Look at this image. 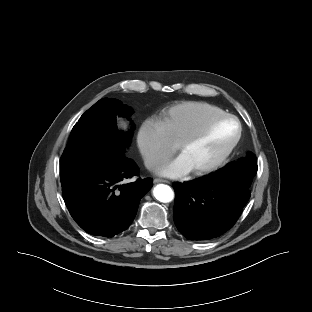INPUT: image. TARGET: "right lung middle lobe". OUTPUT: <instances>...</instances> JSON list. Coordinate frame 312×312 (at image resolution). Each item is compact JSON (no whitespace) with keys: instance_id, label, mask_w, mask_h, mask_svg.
I'll return each mask as SVG.
<instances>
[{"instance_id":"right-lung-middle-lobe-1","label":"right lung middle lobe","mask_w":312,"mask_h":312,"mask_svg":"<svg viewBox=\"0 0 312 312\" xmlns=\"http://www.w3.org/2000/svg\"><path fill=\"white\" fill-rule=\"evenodd\" d=\"M132 113L119 100L103 98L81 116L60 160L62 187L124 156L132 128L129 132L118 130L116 116L129 117Z\"/></svg>"}]
</instances>
